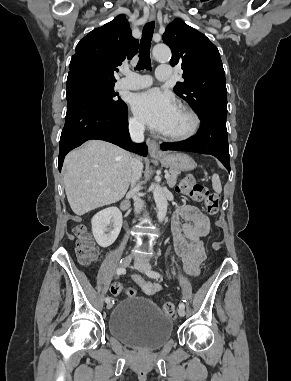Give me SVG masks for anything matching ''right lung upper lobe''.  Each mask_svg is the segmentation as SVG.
<instances>
[{
  "label": "right lung upper lobe",
  "mask_w": 291,
  "mask_h": 381,
  "mask_svg": "<svg viewBox=\"0 0 291 381\" xmlns=\"http://www.w3.org/2000/svg\"><path fill=\"white\" fill-rule=\"evenodd\" d=\"M138 51L128 21L119 15L102 27L92 30L80 40L71 58L67 79L83 77L102 83H114L125 59H132Z\"/></svg>",
  "instance_id": "1"
}]
</instances>
